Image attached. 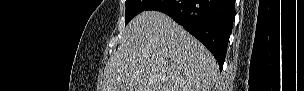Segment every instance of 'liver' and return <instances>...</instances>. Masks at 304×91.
Instances as JSON below:
<instances>
[{"mask_svg":"<svg viewBox=\"0 0 304 91\" xmlns=\"http://www.w3.org/2000/svg\"><path fill=\"white\" fill-rule=\"evenodd\" d=\"M218 71L211 52L182 26L144 11L106 64L102 91H211Z\"/></svg>","mask_w":304,"mask_h":91,"instance_id":"1","label":"liver"}]
</instances>
